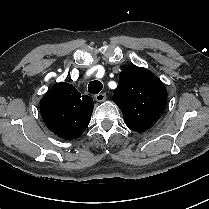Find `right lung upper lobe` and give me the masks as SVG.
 Listing matches in <instances>:
<instances>
[{"mask_svg":"<svg viewBox=\"0 0 209 209\" xmlns=\"http://www.w3.org/2000/svg\"><path fill=\"white\" fill-rule=\"evenodd\" d=\"M94 103L90 96L80 94L66 82L51 87L40 101L45 125L66 140L79 138L87 128Z\"/></svg>","mask_w":209,"mask_h":209,"instance_id":"1","label":"right lung upper lobe"}]
</instances>
